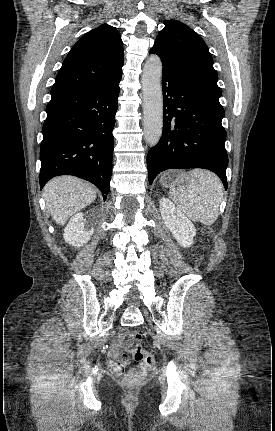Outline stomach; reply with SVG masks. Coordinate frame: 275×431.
<instances>
[{"instance_id":"stomach-1","label":"stomach","mask_w":275,"mask_h":431,"mask_svg":"<svg viewBox=\"0 0 275 431\" xmlns=\"http://www.w3.org/2000/svg\"><path fill=\"white\" fill-rule=\"evenodd\" d=\"M184 182H188V181L184 180ZM160 183L164 187H168V186H172L173 184H175L176 179H174V175L172 173H164L160 178Z\"/></svg>"}]
</instances>
